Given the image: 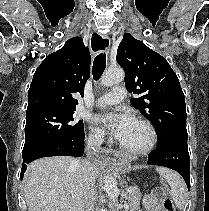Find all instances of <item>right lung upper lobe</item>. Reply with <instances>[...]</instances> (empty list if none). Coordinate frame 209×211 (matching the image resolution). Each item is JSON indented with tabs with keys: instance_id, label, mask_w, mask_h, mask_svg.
<instances>
[{
	"instance_id": "obj_1",
	"label": "right lung upper lobe",
	"mask_w": 209,
	"mask_h": 211,
	"mask_svg": "<svg viewBox=\"0 0 209 211\" xmlns=\"http://www.w3.org/2000/svg\"><path fill=\"white\" fill-rule=\"evenodd\" d=\"M91 56L82 38L69 39L48 55L34 73L28 91L27 113L41 109H75L74 93L84 94Z\"/></svg>"
}]
</instances>
